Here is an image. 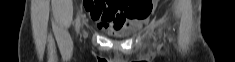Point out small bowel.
<instances>
[{
    "label": "small bowel",
    "mask_w": 235,
    "mask_h": 62,
    "mask_svg": "<svg viewBox=\"0 0 235 62\" xmlns=\"http://www.w3.org/2000/svg\"><path fill=\"white\" fill-rule=\"evenodd\" d=\"M87 11L99 28L121 29L128 19H139L130 14L127 1L106 0L87 6Z\"/></svg>",
    "instance_id": "small-bowel-1"
}]
</instances>
